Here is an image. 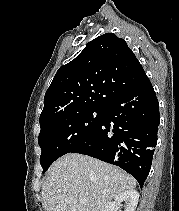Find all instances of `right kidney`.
<instances>
[{
    "label": "right kidney",
    "instance_id": "right-kidney-1",
    "mask_svg": "<svg viewBox=\"0 0 179 211\" xmlns=\"http://www.w3.org/2000/svg\"><path fill=\"white\" fill-rule=\"evenodd\" d=\"M139 200V193L136 190H127L115 196L114 201L110 202L103 211H119L122 203L126 204L124 211H135Z\"/></svg>",
    "mask_w": 179,
    "mask_h": 211
}]
</instances>
